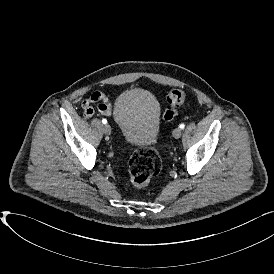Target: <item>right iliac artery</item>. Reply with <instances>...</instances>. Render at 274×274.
Returning <instances> with one entry per match:
<instances>
[{
	"instance_id": "1",
	"label": "right iliac artery",
	"mask_w": 274,
	"mask_h": 274,
	"mask_svg": "<svg viewBox=\"0 0 274 274\" xmlns=\"http://www.w3.org/2000/svg\"><path fill=\"white\" fill-rule=\"evenodd\" d=\"M102 123H103V124H106V123H107V120H106V119H102Z\"/></svg>"
}]
</instances>
